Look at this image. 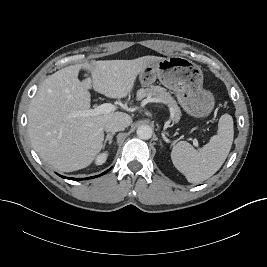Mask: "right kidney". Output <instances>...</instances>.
Segmentation results:
<instances>
[{"instance_id":"obj_1","label":"right kidney","mask_w":267,"mask_h":267,"mask_svg":"<svg viewBox=\"0 0 267 267\" xmlns=\"http://www.w3.org/2000/svg\"><path fill=\"white\" fill-rule=\"evenodd\" d=\"M107 157H108V153L107 152L98 155L97 158H96V161H95L96 164L97 165H102L103 163L106 162Z\"/></svg>"}]
</instances>
